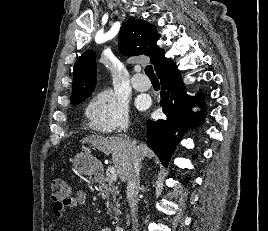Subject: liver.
<instances>
[{"instance_id":"obj_1","label":"liver","mask_w":268,"mask_h":231,"mask_svg":"<svg viewBox=\"0 0 268 231\" xmlns=\"http://www.w3.org/2000/svg\"><path fill=\"white\" fill-rule=\"evenodd\" d=\"M83 144H92L100 148L106 154H112V161L116 168V173L122 181H125V174L131 166L132 149L139 151L141 159L144 157H153L154 153L148 148L146 143L137 145L135 140L123 139L119 137H101L92 135L82 140ZM84 151L90 152V149L83 146Z\"/></svg>"}]
</instances>
